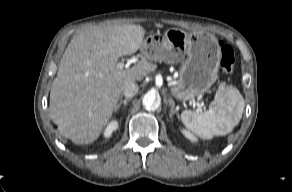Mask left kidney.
<instances>
[{
    "mask_svg": "<svg viewBox=\"0 0 292 192\" xmlns=\"http://www.w3.org/2000/svg\"><path fill=\"white\" fill-rule=\"evenodd\" d=\"M182 133H183L184 136H185L186 138H188L189 140H191V141L196 140V138H195L190 132H188V131H186V130H183Z\"/></svg>",
    "mask_w": 292,
    "mask_h": 192,
    "instance_id": "5707ae66",
    "label": "left kidney"
}]
</instances>
